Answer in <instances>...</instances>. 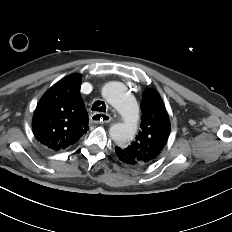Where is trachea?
<instances>
[{
  "label": "trachea",
  "mask_w": 232,
  "mask_h": 232,
  "mask_svg": "<svg viewBox=\"0 0 232 232\" xmlns=\"http://www.w3.org/2000/svg\"><path fill=\"white\" fill-rule=\"evenodd\" d=\"M92 111L105 112L106 105L102 101H95L92 105Z\"/></svg>",
  "instance_id": "obj_1"
}]
</instances>
